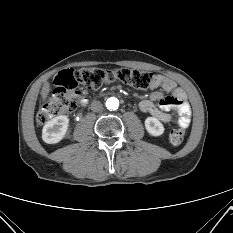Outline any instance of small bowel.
<instances>
[{"label":"small bowel","instance_id":"small-bowel-1","mask_svg":"<svg viewBox=\"0 0 233 233\" xmlns=\"http://www.w3.org/2000/svg\"><path fill=\"white\" fill-rule=\"evenodd\" d=\"M161 88L162 91H157ZM152 93L148 99L139 104L141 111L151 114L164 123H175L179 127L187 128L191 122V108L187 94L168 77L157 75L151 85ZM169 93L170 95H166ZM86 101H82L85 105ZM174 111V113H171Z\"/></svg>","mask_w":233,"mask_h":233}]
</instances>
